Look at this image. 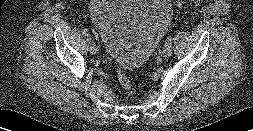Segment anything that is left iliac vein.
Listing matches in <instances>:
<instances>
[{
  "mask_svg": "<svg viewBox=\"0 0 253 131\" xmlns=\"http://www.w3.org/2000/svg\"><path fill=\"white\" fill-rule=\"evenodd\" d=\"M171 53H172L171 47L165 46V48L162 51L163 57L168 58L171 55Z\"/></svg>",
  "mask_w": 253,
  "mask_h": 131,
  "instance_id": "obj_1",
  "label": "left iliac vein"
}]
</instances>
